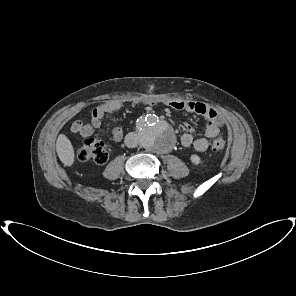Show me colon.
Instances as JSON below:
<instances>
[{"mask_svg": "<svg viewBox=\"0 0 296 296\" xmlns=\"http://www.w3.org/2000/svg\"><path fill=\"white\" fill-rule=\"evenodd\" d=\"M226 141L222 138L215 139L211 148L213 151H221L226 148ZM76 157L83 162L104 164L109 159V150L106 143L97 138H87L76 151Z\"/></svg>", "mask_w": 296, "mask_h": 296, "instance_id": "5ec220e1", "label": "colon"}]
</instances>
